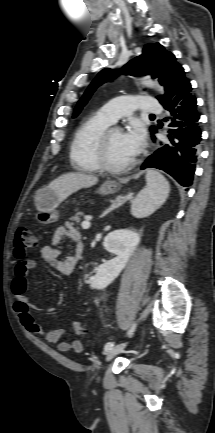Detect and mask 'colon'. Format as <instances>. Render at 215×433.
<instances>
[{
  "label": "colon",
  "mask_w": 215,
  "mask_h": 433,
  "mask_svg": "<svg viewBox=\"0 0 215 433\" xmlns=\"http://www.w3.org/2000/svg\"><path fill=\"white\" fill-rule=\"evenodd\" d=\"M38 239L31 228L21 226L17 229L15 235L16 257L23 259L28 249L36 247ZM73 330L78 335H85L88 331L86 322L75 320L73 321Z\"/></svg>",
  "instance_id": "1"
}]
</instances>
